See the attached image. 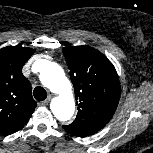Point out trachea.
Wrapping results in <instances>:
<instances>
[{"instance_id":"1","label":"trachea","mask_w":153,"mask_h":153,"mask_svg":"<svg viewBox=\"0 0 153 153\" xmlns=\"http://www.w3.org/2000/svg\"><path fill=\"white\" fill-rule=\"evenodd\" d=\"M34 98L38 101H43L47 97V92L43 87L37 86L33 90Z\"/></svg>"}]
</instances>
